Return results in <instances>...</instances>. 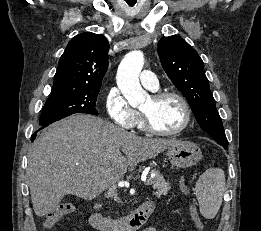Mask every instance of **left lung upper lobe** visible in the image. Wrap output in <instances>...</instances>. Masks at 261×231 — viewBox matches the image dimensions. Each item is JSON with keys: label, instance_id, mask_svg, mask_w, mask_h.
Masks as SVG:
<instances>
[{"label": "left lung upper lobe", "instance_id": "left-lung-upper-lobe-1", "mask_svg": "<svg viewBox=\"0 0 261 231\" xmlns=\"http://www.w3.org/2000/svg\"><path fill=\"white\" fill-rule=\"evenodd\" d=\"M158 54L166 74L188 100L201 128L213 139L228 143L198 53L182 37L169 36L160 39Z\"/></svg>", "mask_w": 261, "mask_h": 231}]
</instances>
